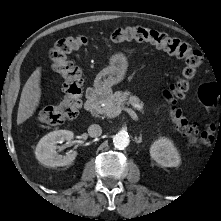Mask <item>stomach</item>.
<instances>
[{
    "label": "stomach",
    "instance_id": "0dacf381",
    "mask_svg": "<svg viewBox=\"0 0 221 221\" xmlns=\"http://www.w3.org/2000/svg\"><path fill=\"white\" fill-rule=\"evenodd\" d=\"M127 66V59L122 53L112 55L109 66L97 74L94 81L95 88L101 92L109 91L113 85L123 80Z\"/></svg>",
    "mask_w": 221,
    "mask_h": 221
}]
</instances>
